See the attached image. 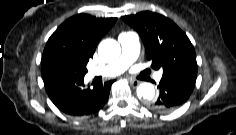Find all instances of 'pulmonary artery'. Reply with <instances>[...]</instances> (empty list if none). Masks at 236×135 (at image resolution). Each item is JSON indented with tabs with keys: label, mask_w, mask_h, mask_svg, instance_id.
<instances>
[{
	"label": "pulmonary artery",
	"mask_w": 236,
	"mask_h": 135,
	"mask_svg": "<svg viewBox=\"0 0 236 135\" xmlns=\"http://www.w3.org/2000/svg\"><path fill=\"white\" fill-rule=\"evenodd\" d=\"M121 44V56L104 67H94L89 70V76H117L122 74L137 58L139 53V38L134 32H124L118 37ZM162 73L156 74L155 79L160 81Z\"/></svg>",
	"instance_id": "e3ab8cb5"
}]
</instances>
